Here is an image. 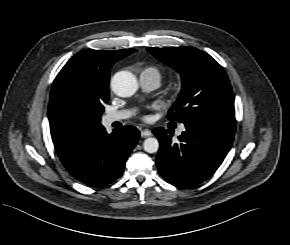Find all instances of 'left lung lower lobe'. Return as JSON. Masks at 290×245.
<instances>
[{
	"label": "left lung lower lobe",
	"instance_id": "obj_1",
	"mask_svg": "<svg viewBox=\"0 0 290 245\" xmlns=\"http://www.w3.org/2000/svg\"><path fill=\"white\" fill-rule=\"evenodd\" d=\"M186 131L172 142V132L153 130L160 142L156 157L159 173L171 184L190 188L209 178L220 166L232 146L234 132L193 120L184 123Z\"/></svg>",
	"mask_w": 290,
	"mask_h": 245
}]
</instances>
